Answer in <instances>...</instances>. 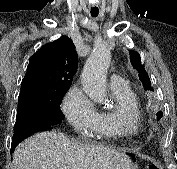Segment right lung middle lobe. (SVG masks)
Segmentation results:
<instances>
[{
    "label": "right lung middle lobe",
    "mask_w": 177,
    "mask_h": 169,
    "mask_svg": "<svg viewBox=\"0 0 177 169\" xmlns=\"http://www.w3.org/2000/svg\"><path fill=\"white\" fill-rule=\"evenodd\" d=\"M65 93L66 91L49 99L36 97L18 98L16 121L33 118L51 125L59 124L64 117L60 110V104Z\"/></svg>",
    "instance_id": "right-lung-middle-lobe-1"
}]
</instances>
